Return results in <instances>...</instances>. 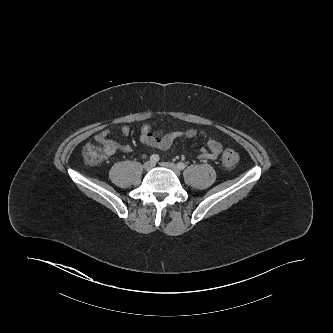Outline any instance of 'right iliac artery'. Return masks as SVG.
Returning a JSON list of instances; mask_svg holds the SVG:
<instances>
[{
	"label": "right iliac artery",
	"mask_w": 333,
	"mask_h": 333,
	"mask_svg": "<svg viewBox=\"0 0 333 333\" xmlns=\"http://www.w3.org/2000/svg\"><path fill=\"white\" fill-rule=\"evenodd\" d=\"M159 159H160L159 156L156 154H153L150 157V161H152L153 163H157L159 161Z\"/></svg>",
	"instance_id": "right-iliac-artery-1"
}]
</instances>
